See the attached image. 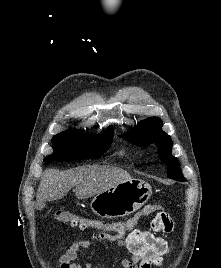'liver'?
<instances>
[{"instance_id":"obj_1","label":"liver","mask_w":221,"mask_h":268,"mask_svg":"<svg viewBox=\"0 0 221 268\" xmlns=\"http://www.w3.org/2000/svg\"><path fill=\"white\" fill-rule=\"evenodd\" d=\"M131 179L127 171L112 166H83L63 172L48 169L38 187L36 207L41 210L47 201L62 199L73 187L78 199H86Z\"/></svg>"}]
</instances>
